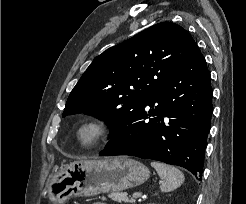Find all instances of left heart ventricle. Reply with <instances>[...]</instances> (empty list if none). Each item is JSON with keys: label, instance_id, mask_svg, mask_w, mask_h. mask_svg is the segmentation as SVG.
<instances>
[{"label": "left heart ventricle", "instance_id": "obj_1", "mask_svg": "<svg viewBox=\"0 0 246 204\" xmlns=\"http://www.w3.org/2000/svg\"><path fill=\"white\" fill-rule=\"evenodd\" d=\"M91 131L90 130H87V131H85L84 133H83V137L85 138V139H88L89 137H91Z\"/></svg>", "mask_w": 246, "mask_h": 204}]
</instances>
